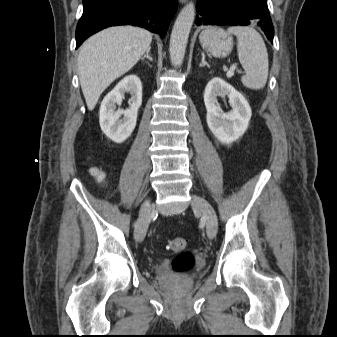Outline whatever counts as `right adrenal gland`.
Returning <instances> with one entry per match:
<instances>
[{
    "mask_svg": "<svg viewBox=\"0 0 337 337\" xmlns=\"http://www.w3.org/2000/svg\"><path fill=\"white\" fill-rule=\"evenodd\" d=\"M150 52V48L146 51V54L141 58V60H144L145 58H147L148 60L152 61V57H150L149 55Z\"/></svg>",
    "mask_w": 337,
    "mask_h": 337,
    "instance_id": "2a0ac1e0",
    "label": "right adrenal gland"
}]
</instances>
